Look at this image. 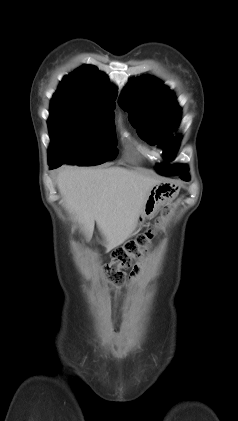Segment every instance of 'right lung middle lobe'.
<instances>
[{
  "mask_svg": "<svg viewBox=\"0 0 238 421\" xmlns=\"http://www.w3.org/2000/svg\"><path fill=\"white\" fill-rule=\"evenodd\" d=\"M115 105L53 97L48 128L49 162L99 165L118 154L114 126Z\"/></svg>",
  "mask_w": 238,
  "mask_h": 421,
  "instance_id": "1",
  "label": "right lung middle lobe"
}]
</instances>
